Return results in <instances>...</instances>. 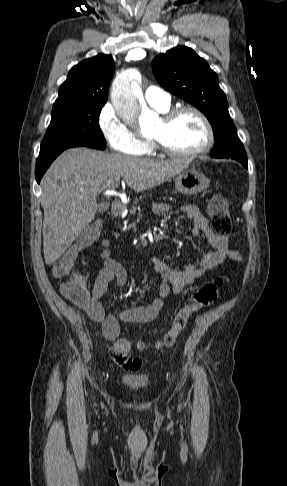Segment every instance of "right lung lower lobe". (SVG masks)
<instances>
[{"instance_id":"obj_1","label":"right lung lower lobe","mask_w":287,"mask_h":486,"mask_svg":"<svg viewBox=\"0 0 287 486\" xmlns=\"http://www.w3.org/2000/svg\"><path fill=\"white\" fill-rule=\"evenodd\" d=\"M62 151L60 152H57V153H53V154H49V155H43V156H39L37 158V161H36V169H35V177H36V181L39 183L42 176L44 175V173L46 172V170L48 169V167L50 166V164L53 162V160L61 153Z\"/></svg>"}]
</instances>
